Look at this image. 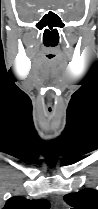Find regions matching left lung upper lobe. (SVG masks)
<instances>
[{
  "label": "left lung upper lobe",
  "instance_id": "obj_1",
  "mask_svg": "<svg viewBox=\"0 0 98 209\" xmlns=\"http://www.w3.org/2000/svg\"><path fill=\"white\" fill-rule=\"evenodd\" d=\"M64 200L72 207L70 209H98V191L94 189L67 194Z\"/></svg>",
  "mask_w": 98,
  "mask_h": 209
}]
</instances>
